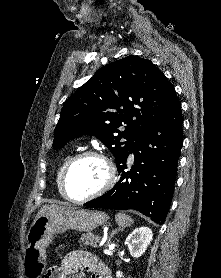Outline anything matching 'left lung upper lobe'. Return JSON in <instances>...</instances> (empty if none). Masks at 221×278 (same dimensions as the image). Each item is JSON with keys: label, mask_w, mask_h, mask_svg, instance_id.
I'll use <instances>...</instances> for the list:
<instances>
[{"label": "left lung upper lobe", "mask_w": 221, "mask_h": 278, "mask_svg": "<svg viewBox=\"0 0 221 278\" xmlns=\"http://www.w3.org/2000/svg\"><path fill=\"white\" fill-rule=\"evenodd\" d=\"M178 101L163 72L134 55L100 68L63 104L54 149L84 134L96 136L116 159ZM124 126L125 130H120Z\"/></svg>", "instance_id": "1"}]
</instances>
